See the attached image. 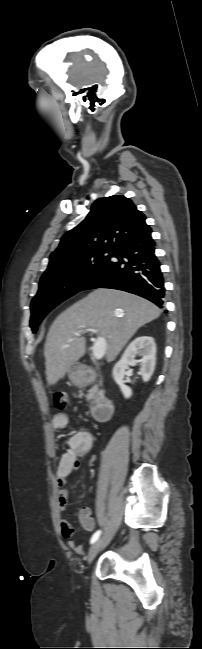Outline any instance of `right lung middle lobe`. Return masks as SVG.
Here are the masks:
<instances>
[{
	"label": "right lung middle lobe",
	"mask_w": 202,
	"mask_h": 649,
	"mask_svg": "<svg viewBox=\"0 0 202 649\" xmlns=\"http://www.w3.org/2000/svg\"><path fill=\"white\" fill-rule=\"evenodd\" d=\"M111 256V251L89 252L67 262L61 271L41 277L39 290L31 302L30 327L33 333L54 307L82 291Z\"/></svg>",
	"instance_id": "obj_1"
}]
</instances>
